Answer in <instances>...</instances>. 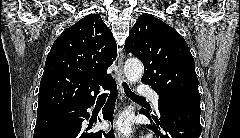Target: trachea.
<instances>
[{"instance_id": "3493384b", "label": "trachea", "mask_w": 240, "mask_h": 138, "mask_svg": "<svg viewBox=\"0 0 240 138\" xmlns=\"http://www.w3.org/2000/svg\"><path fill=\"white\" fill-rule=\"evenodd\" d=\"M123 85H124L125 94H126L129 98H131V99H133V100H140V101L145 100L143 97L138 96V95H136L134 92H132L131 89L129 88V86H128L126 83H123ZM107 96H108L107 93H103V94L99 95V98H106Z\"/></svg>"}]
</instances>
